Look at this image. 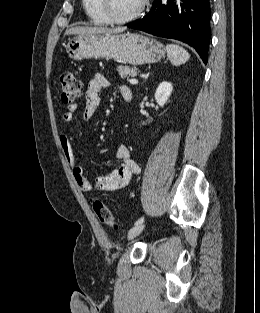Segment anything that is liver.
Returning <instances> with one entry per match:
<instances>
[{
	"mask_svg": "<svg viewBox=\"0 0 260 313\" xmlns=\"http://www.w3.org/2000/svg\"><path fill=\"white\" fill-rule=\"evenodd\" d=\"M125 27H117V28H107V27H90V26H78V27H72L68 31H66L67 35H90V34H114V33H121L125 31Z\"/></svg>",
	"mask_w": 260,
	"mask_h": 313,
	"instance_id": "1",
	"label": "liver"
}]
</instances>
